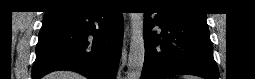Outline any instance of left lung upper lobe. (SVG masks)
Masks as SVG:
<instances>
[{
  "instance_id": "obj_1",
  "label": "left lung upper lobe",
  "mask_w": 255,
  "mask_h": 79,
  "mask_svg": "<svg viewBox=\"0 0 255 79\" xmlns=\"http://www.w3.org/2000/svg\"><path fill=\"white\" fill-rule=\"evenodd\" d=\"M159 2L161 3L162 7L176 9V10H180L181 9V6L178 5V3H180V2H178V1L163 0V1H159ZM183 13H188V12H183ZM189 13L206 18V14H199V13H193V12H189Z\"/></svg>"
}]
</instances>
